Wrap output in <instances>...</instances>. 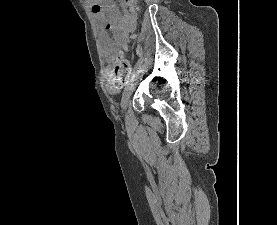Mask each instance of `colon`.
<instances>
[{
    "instance_id": "1",
    "label": "colon",
    "mask_w": 277,
    "mask_h": 225,
    "mask_svg": "<svg viewBox=\"0 0 277 225\" xmlns=\"http://www.w3.org/2000/svg\"><path fill=\"white\" fill-rule=\"evenodd\" d=\"M129 47L125 48V51H128ZM130 75V65L125 57L124 53L119 54L113 60L112 67V81L115 84H122L128 79Z\"/></svg>"
}]
</instances>
